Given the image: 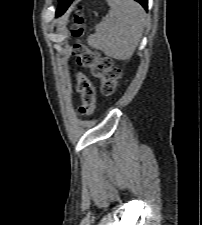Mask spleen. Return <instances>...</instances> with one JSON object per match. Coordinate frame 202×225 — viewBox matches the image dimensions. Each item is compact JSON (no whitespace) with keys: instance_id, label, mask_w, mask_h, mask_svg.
Instances as JSON below:
<instances>
[{"instance_id":"1","label":"spleen","mask_w":202,"mask_h":225,"mask_svg":"<svg viewBox=\"0 0 202 225\" xmlns=\"http://www.w3.org/2000/svg\"><path fill=\"white\" fill-rule=\"evenodd\" d=\"M107 2L109 13L95 26V34L88 37V44L114 59H130L149 19L134 0Z\"/></svg>"}]
</instances>
